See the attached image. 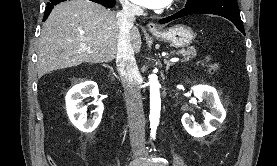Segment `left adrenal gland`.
I'll return each instance as SVG.
<instances>
[{"instance_id": "obj_1", "label": "left adrenal gland", "mask_w": 277, "mask_h": 166, "mask_svg": "<svg viewBox=\"0 0 277 166\" xmlns=\"http://www.w3.org/2000/svg\"><path fill=\"white\" fill-rule=\"evenodd\" d=\"M164 63L166 64V71L169 70L170 66L173 65V63L169 62L168 60H164Z\"/></svg>"}]
</instances>
